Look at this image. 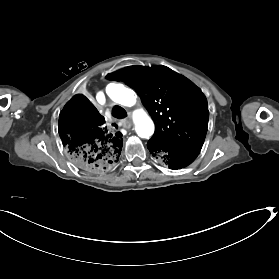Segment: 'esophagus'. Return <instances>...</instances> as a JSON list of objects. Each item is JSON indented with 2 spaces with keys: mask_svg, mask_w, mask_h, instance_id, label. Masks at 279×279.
<instances>
[{
  "mask_svg": "<svg viewBox=\"0 0 279 279\" xmlns=\"http://www.w3.org/2000/svg\"><path fill=\"white\" fill-rule=\"evenodd\" d=\"M121 121H122L123 127H124L125 129H130V128H131L132 122H131L130 119L124 118V119H122Z\"/></svg>",
  "mask_w": 279,
  "mask_h": 279,
  "instance_id": "1",
  "label": "esophagus"
}]
</instances>
